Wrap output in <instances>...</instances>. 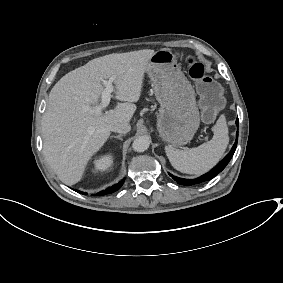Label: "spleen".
Wrapping results in <instances>:
<instances>
[{
  "mask_svg": "<svg viewBox=\"0 0 283 283\" xmlns=\"http://www.w3.org/2000/svg\"><path fill=\"white\" fill-rule=\"evenodd\" d=\"M213 138L205 143L181 150L166 145L164 150L173 167L181 172L200 174L213 167L223 156L229 142L226 120L221 116L213 126Z\"/></svg>",
  "mask_w": 283,
  "mask_h": 283,
  "instance_id": "1",
  "label": "spleen"
}]
</instances>
